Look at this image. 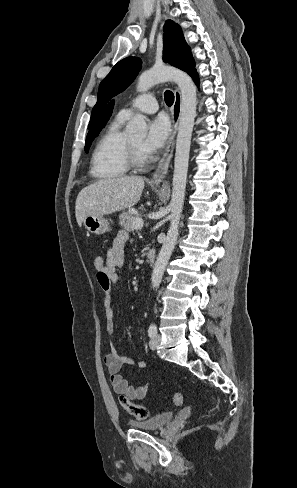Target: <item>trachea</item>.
Returning a JSON list of instances; mask_svg holds the SVG:
<instances>
[{
    "label": "trachea",
    "mask_w": 297,
    "mask_h": 488,
    "mask_svg": "<svg viewBox=\"0 0 297 488\" xmlns=\"http://www.w3.org/2000/svg\"><path fill=\"white\" fill-rule=\"evenodd\" d=\"M164 99L166 104L171 106L174 102V94L170 90H167L164 93Z\"/></svg>",
    "instance_id": "3493384b"
}]
</instances>
